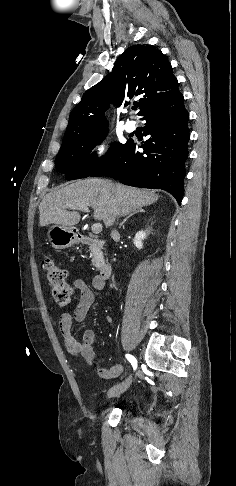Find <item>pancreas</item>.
I'll return each instance as SVG.
<instances>
[{"instance_id":"obj_1","label":"pancreas","mask_w":236,"mask_h":486,"mask_svg":"<svg viewBox=\"0 0 236 486\" xmlns=\"http://www.w3.org/2000/svg\"><path fill=\"white\" fill-rule=\"evenodd\" d=\"M103 263V256L100 252L92 253V265L96 268H100Z\"/></svg>"}]
</instances>
